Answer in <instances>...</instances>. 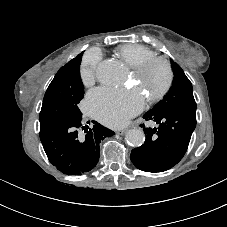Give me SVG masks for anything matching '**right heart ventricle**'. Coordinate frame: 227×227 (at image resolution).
I'll return each instance as SVG.
<instances>
[{
	"label": "right heart ventricle",
	"instance_id": "obj_1",
	"mask_svg": "<svg viewBox=\"0 0 227 227\" xmlns=\"http://www.w3.org/2000/svg\"><path fill=\"white\" fill-rule=\"evenodd\" d=\"M116 54L131 68L155 57V53L151 49L139 44L121 45L116 49Z\"/></svg>",
	"mask_w": 227,
	"mask_h": 227
}]
</instances>
